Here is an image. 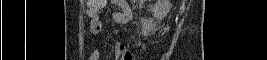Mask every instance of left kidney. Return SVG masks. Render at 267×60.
<instances>
[{
	"label": "left kidney",
	"mask_w": 267,
	"mask_h": 60,
	"mask_svg": "<svg viewBox=\"0 0 267 60\" xmlns=\"http://www.w3.org/2000/svg\"><path fill=\"white\" fill-rule=\"evenodd\" d=\"M172 8V4L168 0H158V2L151 6V12L156 20H163Z\"/></svg>",
	"instance_id": "1"
}]
</instances>
